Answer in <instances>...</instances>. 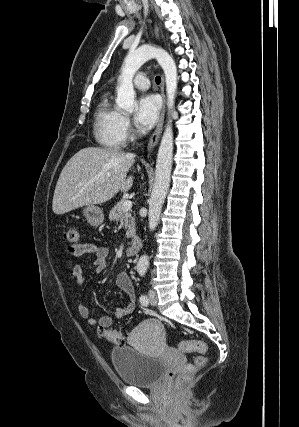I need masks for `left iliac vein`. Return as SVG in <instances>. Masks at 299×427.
<instances>
[{
	"instance_id": "1",
	"label": "left iliac vein",
	"mask_w": 299,
	"mask_h": 427,
	"mask_svg": "<svg viewBox=\"0 0 299 427\" xmlns=\"http://www.w3.org/2000/svg\"><path fill=\"white\" fill-rule=\"evenodd\" d=\"M148 299L151 305L156 306L158 302V298L156 292L152 289L148 291Z\"/></svg>"
}]
</instances>
